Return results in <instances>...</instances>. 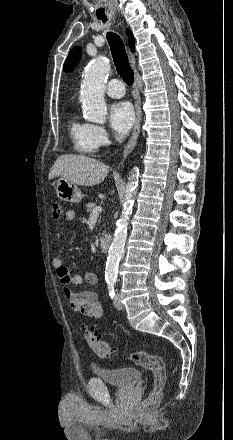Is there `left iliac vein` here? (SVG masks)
Listing matches in <instances>:
<instances>
[{
	"label": "left iliac vein",
	"mask_w": 233,
	"mask_h": 440,
	"mask_svg": "<svg viewBox=\"0 0 233 440\" xmlns=\"http://www.w3.org/2000/svg\"><path fill=\"white\" fill-rule=\"evenodd\" d=\"M113 303H114V306L119 310H122L124 308V306L120 300V296L118 294L115 295Z\"/></svg>",
	"instance_id": "left-iliac-vein-1"
}]
</instances>
